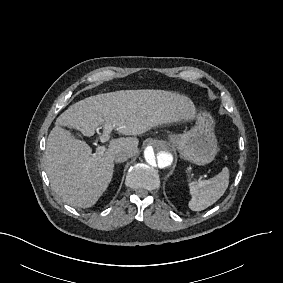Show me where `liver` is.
Here are the masks:
<instances>
[{"mask_svg": "<svg viewBox=\"0 0 283 283\" xmlns=\"http://www.w3.org/2000/svg\"><path fill=\"white\" fill-rule=\"evenodd\" d=\"M196 113L185 96L163 90L117 91L75 103L59 116L48 137L45 164L53 191L71 206H94L112 181L115 151L128 147L136 154L139 145L137 138L113 139L92 155L85 141L62 127L91 137L112 124L120 135L139 136L162 125L194 122Z\"/></svg>", "mask_w": 283, "mask_h": 283, "instance_id": "liver-1", "label": "liver"}]
</instances>
